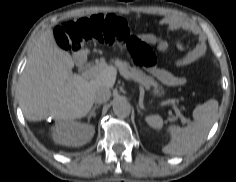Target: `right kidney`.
I'll return each mask as SVG.
<instances>
[{"instance_id": "1", "label": "right kidney", "mask_w": 236, "mask_h": 182, "mask_svg": "<svg viewBox=\"0 0 236 182\" xmlns=\"http://www.w3.org/2000/svg\"><path fill=\"white\" fill-rule=\"evenodd\" d=\"M95 132L92 125L76 121H62L53 127V140L61 145L78 147L89 142Z\"/></svg>"}]
</instances>
